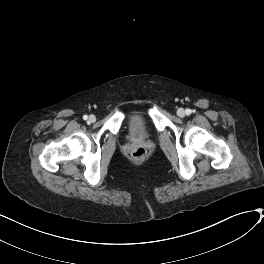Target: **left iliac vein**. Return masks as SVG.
<instances>
[{
    "mask_svg": "<svg viewBox=\"0 0 264 264\" xmlns=\"http://www.w3.org/2000/svg\"><path fill=\"white\" fill-rule=\"evenodd\" d=\"M177 115L181 118H183L185 116V110L183 108H179L177 110Z\"/></svg>",
    "mask_w": 264,
    "mask_h": 264,
    "instance_id": "obj_1",
    "label": "left iliac vein"
}]
</instances>
